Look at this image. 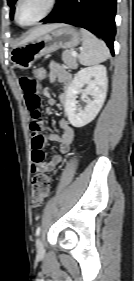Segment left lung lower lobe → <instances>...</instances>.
<instances>
[{"mask_svg": "<svg viewBox=\"0 0 134 281\" xmlns=\"http://www.w3.org/2000/svg\"><path fill=\"white\" fill-rule=\"evenodd\" d=\"M116 0H60L43 23L62 22L99 35L114 55Z\"/></svg>", "mask_w": 134, "mask_h": 281, "instance_id": "left-lung-lower-lobe-1", "label": "left lung lower lobe"}]
</instances>
